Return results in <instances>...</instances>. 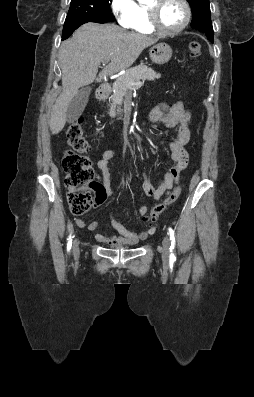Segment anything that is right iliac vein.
Listing matches in <instances>:
<instances>
[{"label":"right iliac vein","instance_id":"63e3f726","mask_svg":"<svg viewBox=\"0 0 254 397\" xmlns=\"http://www.w3.org/2000/svg\"><path fill=\"white\" fill-rule=\"evenodd\" d=\"M74 254H75V256L79 255V246H78L77 241H75V243H74Z\"/></svg>","mask_w":254,"mask_h":397}]
</instances>
